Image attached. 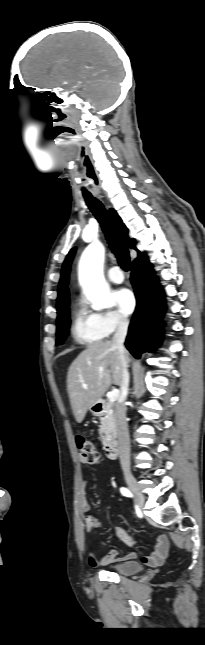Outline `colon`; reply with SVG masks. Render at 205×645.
<instances>
[{"mask_svg":"<svg viewBox=\"0 0 205 645\" xmlns=\"http://www.w3.org/2000/svg\"><path fill=\"white\" fill-rule=\"evenodd\" d=\"M75 442L80 456L86 462L94 464L99 461V452L97 451L94 443L91 440L84 436L78 435L76 436ZM86 521L92 527L97 525V522L93 517L88 516Z\"/></svg>","mask_w":205,"mask_h":645,"instance_id":"5ec220e1","label":"colon"}]
</instances>
